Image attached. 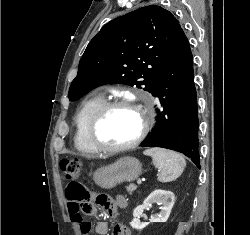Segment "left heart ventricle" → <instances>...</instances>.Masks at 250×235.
Segmentation results:
<instances>
[{
  "instance_id": "1",
  "label": "left heart ventricle",
  "mask_w": 250,
  "mask_h": 235,
  "mask_svg": "<svg viewBox=\"0 0 250 235\" xmlns=\"http://www.w3.org/2000/svg\"><path fill=\"white\" fill-rule=\"evenodd\" d=\"M140 114L128 107H119L109 112L99 126V138L109 145L131 142L141 128Z\"/></svg>"
}]
</instances>
